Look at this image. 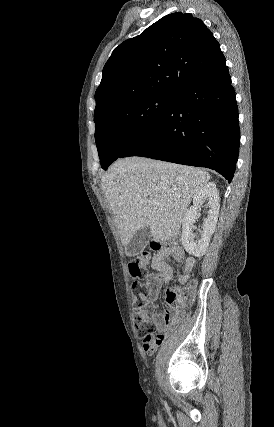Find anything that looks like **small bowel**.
<instances>
[{
	"mask_svg": "<svg viewBox=\"0 0 274 427\" xmlns=\"http://www.w3.org/2000/svg\"><path fill=\"white\" fill-rule=\"evenodd\" d=\"M174 259L183 264L182 271L178 275V281L184 284L188 281L195 266L194 257H186V252L182 246L172 243L161 247L153 256L151 261V271L146 272L145 288L148 302L157 307V298L162 286L171 281L173 277V268L170 261ZM181 312L178 306L165 313L155 311L152 314V320L156 326L157 333L150 337H143V350L147 355H152L158 347L165 341L167 336L175 328Z\"/></svg>",
	"mask_w": 274,
	"mask_h": 427,
	"instance_id": "c3829d8e",
	"label": "small bowel"
}]
</instances>
